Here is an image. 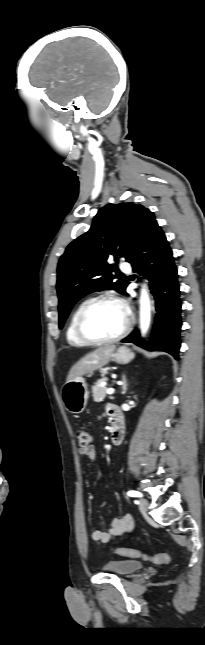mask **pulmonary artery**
I'll use <instances>...</instances> for the list:
<instances>
[{
  "mask_svg": "<svg viewBox=\"0 0 205 645\" xmlns=\"http://www.w3.org/2000/svg\"><path fill=\"white\" fill-rule=\"evenodd\" d=\"M120 270L123 271V272H130L131 268H130V265L128 263L122 262L120 264Z\"/></svg>",
  "mask_w": 205,
  "mask_h": 645,
  "instance_id": "pulmonary-artery-1",
  "label": "pulmonary artery"
}]
</instances>
